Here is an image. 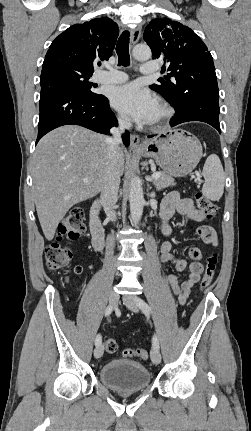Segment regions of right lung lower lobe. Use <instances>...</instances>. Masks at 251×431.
I'll use <instances>...</instances> for the list:
<instances>
[{"label": "right lung lower lobe", "mask_w": 251, "mask_h": 431, "mask_svg": "<svg viewBox=\"0 0 251 431\" xmlns=\"http://www.w3.org/2000/svg\"><path fill=\"white\" fill-rule=\"evenodd\" d=\"M37 142L49 131L63 125H80L98 133L108 134L117 125L108 99L101 94H83L61 84L41 87ZM129 145V132L123 136Z\"/></svg>", "instance_id": "1"}]
</instances>
